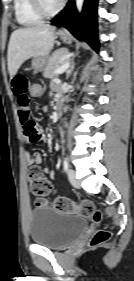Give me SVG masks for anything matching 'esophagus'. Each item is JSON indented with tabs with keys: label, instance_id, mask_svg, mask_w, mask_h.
<instances>
[{
	"label": "esophagus",
	"instance_id": "esophagus-1",
	"mask_svg": "<svg viewBox=\"0 0 134 281\" xmlns=\"http://www.w3.org/2000/svg\"><path fill=\"white\" fill-rule=\"evenodd\" d=\"M65 31H66L65 29H61V30H60V32H65Z\"/></svg>",
	"mask_w": 134,
	"mask_h": 281
}]
</instances>
